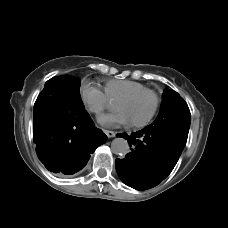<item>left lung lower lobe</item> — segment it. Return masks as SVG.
<instances>
[{
	"label": "left lung lower lobe",
	"mask_w": 228,
	"mask_h": 228,
	"mask_svg": "<svg viewBox=\"0 0 228 228\" xmlns=\"http://www.w3.org/2000/svg\"><path fill=\"white\" fill-rule=\"evenodd\" d=\"M117 136L124 137L132 150L124 159H116L117 173L123 183L137 190L152 188L170 174L188 137L184 132L150 125Z\"/></svg>",
	"instance_id": "left-lung-lower-lobe-1"
}]
</instances>
